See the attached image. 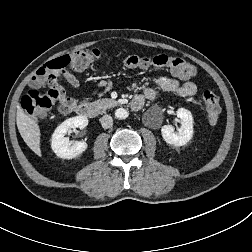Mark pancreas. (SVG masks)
Segmentation results:
<instances>
[{"instance_id":"obj_1","label":"pancreas","mask_w":252,"mask_h":252,"mask_svg":"<svg viewBox=\"0 0 252 252\" xmlns=\"http://www.w3.org/2000/svg\"><path fill=\"white\" fill-rule=\"evenodd\" d=\"M119 103L114 99H99L93 102L94 107L98 113H104L107 109L117 106Z\"/></svg>"}]
</instances>
